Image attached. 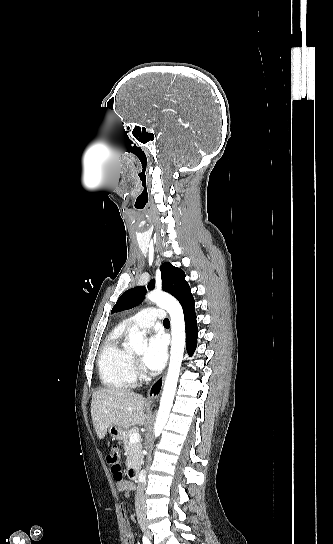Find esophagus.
I'll list each match as a JSON object with an SVG mask.
<instances>
[{"mask_svg":"<svg viewBox=\"0 0 333 544\" xmlns=\"http://www.w3.org/2000/svg\"><path fill=\"white\" fill-rule=\"evenodd\" d=\"M166 374H164L161 378H158L156 381L153 382V384L150 386L148 391V403H154L158 397L161 394L164 381H165Z\"/></svg>","mask_w":333,"mask_h":544,"instance_id":"34e87169","label":"esophagus"}]
</instances>
